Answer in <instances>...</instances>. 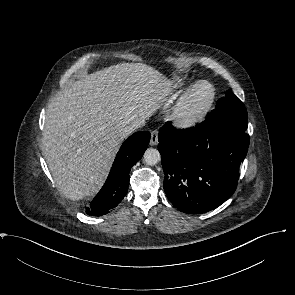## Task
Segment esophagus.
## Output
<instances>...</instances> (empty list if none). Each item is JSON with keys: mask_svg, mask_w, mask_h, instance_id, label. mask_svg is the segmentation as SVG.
I'll use <instances>...</instances> for the list:
<instances>
[{"mask_svg": "<svg viewBox=\"0 0 295 295\" xmlns=\"http://www.w3.org/2000/svg\"><path fill=\"white\" fill-rule=\"evenodd\" d=\"M158 144V131L153 130L151 132V139H150V145L154 146Z\"/></svg>", "mask_w": 295, "mask_h": 295, "instance_id": "esophagus-1", "label": "esophagus"}]
</instances>
